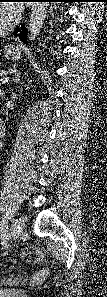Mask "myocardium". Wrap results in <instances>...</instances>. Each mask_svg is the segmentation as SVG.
<instances>
[{
	"label": "myocardium",
	"mask_w": 107,
	"mask_h": 297,
	"mask_svg": "<svg viewBox=\"0 0 107 297\" xmlns=\"http://www.w3.org/2000/svg\"><path fill=\"white\" fill-rule=\"evenodd\" d=\"M15 24H16V19L12 20L7 25L0 26V34L9 32L14 27Z\"/></svg>",
	"instance_id": "1"
}]
</instances>
